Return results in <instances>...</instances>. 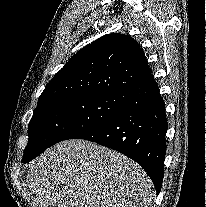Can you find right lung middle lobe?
<instances>
[{
	"instance_id": "1",
	"label": "right lung middle lobe",
	"mask_w": 206,
	"mask_h": 207,
	"mask_svg": "<svg viewBox=\"0 0 206 207\" xmlns=\"http://www.w3.org/2000/svg\"><path fill=\"white\" fill-rule=\"evenodd\" d=\"M125 101V94H95L61 97L38 104L29 123V141L23 160L99 126L114 116Z\"/></svg>"
}]
</instances>
